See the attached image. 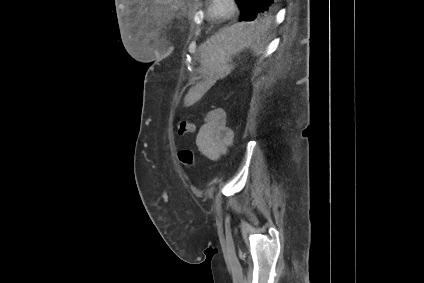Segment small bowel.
<instances>
[{
	"mask_svg": "<svg viewBox=\"0 0 424 283\" xmlns=\"http://www.w3.org/2000/svg\"><path fill=\"white\" fill-rule=\"evenodd\" d=\"M232 141L233 133L226 126L225 111L221 108L210 110L197 132L195 138L196 149L205 158L216 161L226 154Z\"/></svg>",
	"mask_w": 424,
	"mask_h": 283,
	"instance_id": "small-bowel-1",
	"label": "small bowel"
}]
</instances>
